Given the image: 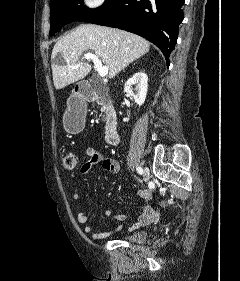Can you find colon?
Listing matches in <instances>:
<instances>
[{"mask_svg": "<svg viewBox=\"0 0 240 281\" xmlns=\"http://www.w3.org/2000/svg\"><path fill=\"white\" fill-rule=\"evenodd\" d=\"M79 165V157L73 151H66L61 157V167L65 171H72Z\"/></svg>", "mask_w": 240, "mask_h": 281, "instance_id": "colon-1", "label": "colon"}]
</instances>
